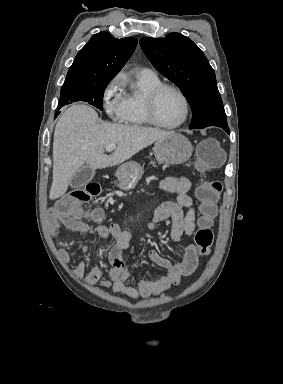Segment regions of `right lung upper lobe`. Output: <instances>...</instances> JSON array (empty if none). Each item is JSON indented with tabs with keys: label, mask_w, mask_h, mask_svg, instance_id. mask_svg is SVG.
Returning <instances> with one entry per match:
<instances>
[{
	"label": "right lung upper lobe",
	"mask_w": 283,
	"mask_h": 384,
	"mask_svg": "<svg viewBox=\"0 0 283 384\" xmlns=\"http://www.w3.org/2000/svg\"><path fill=\"white\" fill-rule=\"evenodd\" d=\"M137 39H116L106 32L91 37L78 52L63 87L109 83L132 55Z\"/></svg>",
	"instance_id": "obj_1"
}]
</instances>
